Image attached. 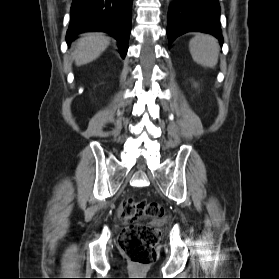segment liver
<instances>
[{"label": "liver", "instance_id": "liver-1", "mask_svg": "<svg viewBox=\"0 0 279 279\" xmlns=\"http://www.w3.org/2000/svg\"><path fill=\"white\" fill-rule=\"evenodd\" d=\"M109 38L102 33H88L77 41L72 58L77 66L85 65L97 59L108 47Z\"/></svg>", "mask_w": 279, "mask_h": 279}]
</instances>
